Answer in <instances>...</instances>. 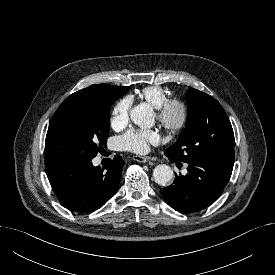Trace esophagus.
Listing matches in <instances>:
<instances>
[{"instance_id": "1", "label": "esophagus", "mask_w": 275, "mask_h": 275, "mask_svg": "<svg viewBox=\"0 0 275 275\" xmlns=\"http://www.w3.org/2000/svg\"><path fill=\"white\" fill-rule=\"evenodd\" d=\"M133 159L137 162L140 163H146V162H150V161H155L156 158L154 157H149V156H134Z\"/></svg>"}]
</instances>
